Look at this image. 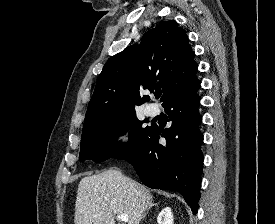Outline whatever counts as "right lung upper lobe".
<instances>
[{"label": "right lung upper lobe", "mask_w": 275, "mask_h": 224, "mask_svg": "<svg viewBox=\"0 0 275 224\" xmlns=\"http://www.w3.org/2000/svg\"><path fill=\"white\" fill-rule=\"evenodd\" d=\"M185 31L174 20L161 21L139 45L112 56L100 73L83 128L105 118L135 111L147 101L139 88L163 90L164 103L195 78L197 64Z\"/></svg>", "instance_id": "obj_1"}]
</instances>
